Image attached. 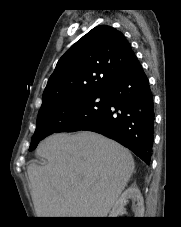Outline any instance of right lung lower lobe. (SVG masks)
<instances>
[{
	"instance_id": "right-lung-lower-lobe-1",
	"label": "right lung lower lobe",
	"mask_w": 181,
	"mask_h": 227,
	"mask_svg": "<svg viewBox=\"0 0 181 227\" xmlns=\"http://www.w3.org/2000/svg\"><path fill=\"white\" fill-rule=\"evenodd\" d=\"M108 93L107 108L82 130L114 139L149 164L154 134V103L148 78L136 57L127 71L110 84Z\"/></svg>"
}]
</instances>
